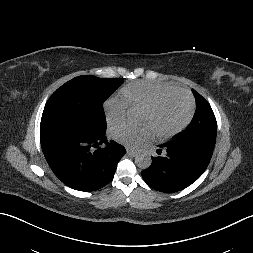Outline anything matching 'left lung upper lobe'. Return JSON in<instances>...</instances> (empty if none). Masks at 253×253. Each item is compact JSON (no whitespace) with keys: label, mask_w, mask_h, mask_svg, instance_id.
Returning <instances> with one entry per match:
<instances>
[{"label":"left lung upper lobe","mask_w":253,"mask_h":253,"mask_svg":"<svg viewBox=\"0 0 253 253\" xmlns=\"http://www.w3.org/2000/svg\"><path fill=\"white\" fill-rule=\"evenodd\" d=\"M196 111L189 126L168 143H183L201 148L212 156L217 133V122L209 103L195 90Z\"/></svg>","instance_id":"obj_1"}]
</instances>
